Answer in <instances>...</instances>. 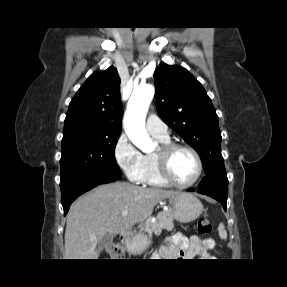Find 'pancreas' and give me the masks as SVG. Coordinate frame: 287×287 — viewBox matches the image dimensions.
Masks as SVG:
<instances>
[{"label":"pancreas","instance_id":"obj_1","mask_svg":"<svg viewBox=\"0 0 287 287\" xmlns=\"http://www.w3.org/2000/svg\"><path fill=\"white\" fill-rule=\"evenodd\" d=\"M173 228L174 223L171 210H163L157 214L155 222H152L151 218H148L142 231L146 232L148 236L151 237L153 233L158 234L163 229L171 231Z\"/></svg>","mask_w":287,"mask_h":287}]
</instances>
